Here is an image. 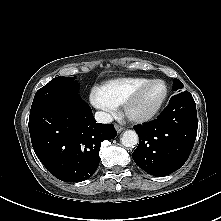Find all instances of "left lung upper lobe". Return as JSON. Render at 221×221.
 Instances as JSON below:
<instances>
[{
  "label": "left lung upper lobe",
  "mask_w": 221,
  "mask_h": 221,
  "mask_svg": "<svg viewBox=\"0 0 221 221\" xmlns=\"http://www.w3.org/2000/svg\"><path fill=\"white\" fill-rule=\"evenodd\" d=\"M183 84L181 83V81L180 80H178V79H174V83H173V90H179V89H182L183 88ZM187 92V91H186ZM182 93H184V92H182ZM181 94V93H180ZM176 96V95H175Z\"/></svg>",
  "instance_id": "obj_1"
}]
</instances>
